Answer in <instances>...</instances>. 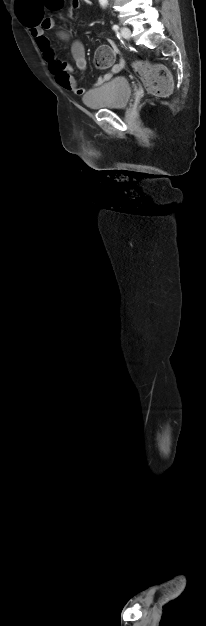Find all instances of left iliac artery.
Wrapping results in <instances>:
<instances>
[{"mask_svg": "<svg viewBox=\"0 0 206 626\" xmlns=\"http://www.w3.org/2000/svg\"><path fill=\"white\" fill-rule=\"evenodd\" d=\"M112 29H113L114 31H118V30H119V26L115 24V25H113V26H112Z\"/></svg>", "mask_w": 206, "mask_h": 626, "instance_id": "left-iliac-artery-1", "label": "left iliac artery"}]
</instances>
